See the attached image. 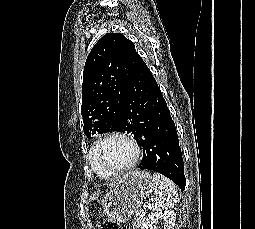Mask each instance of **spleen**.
I'll list each match as a JSON object with an SVG mask.
<instances>
[{"label":"spleen","instance_id":"spleen-1","mask_svg":"<svg viewBox=\"0 0 255 229\" xmlns=\"http://www.w3.org/2000/svg\"><path fill=\"white\" fill-rule=\"evenodd\" d=\"M153 182L156 188L154 195L147 202L148 209L160 211L173 208L177 199L175 184L160 173H153Z\"/></svg>","mask_w":255,"mask_h":229}]
</instances>
